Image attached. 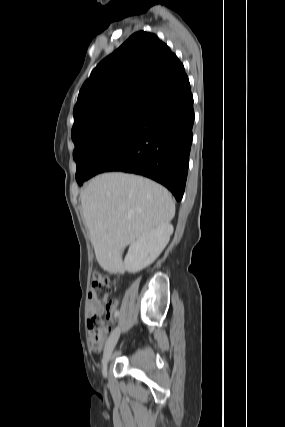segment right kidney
<instances>
[{
  "label": "right kidney",
  "mask_w": 285,
  "mask_h": 427,
  "mask_svg": "<svg viewBox=\"0 0 285 427\" xmlns=\"http://www.w3.org/2000/svg\"><path fill=\"white\" fill-rule=\"evenodd\" d=\"M173 233L170 223L153 228L129 247L124 267L129 273H136L152 264L161 254Z\"/></svg>",
  "instance_id": "ca27d5eb"
}]
</instances>
